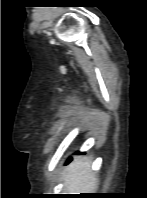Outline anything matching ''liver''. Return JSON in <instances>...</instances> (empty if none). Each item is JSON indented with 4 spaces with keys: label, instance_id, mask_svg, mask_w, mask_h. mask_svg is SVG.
I'll return each instance as SVG.
<instances>
[{
    "label": "liver",
    "instance_id": "6515ba94",
    "mask_svg": "<svg viewBox=\"0 0 147 198\" xmlns=\"http://www.w3.org/2000/svg\"><path fill=\"white\" fill-rule=\"evenodd\" d=\"M90 159H77L68 165L63 173L64 189L68 194L92 193L98 185V178L91 173ZM76 192V193H75Z\"/></svg>",
    "mask_w": 147,
    "mask_h": 198
}]
</instances>
